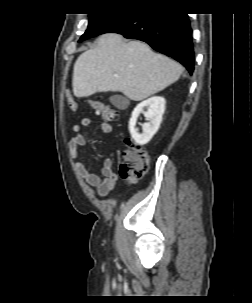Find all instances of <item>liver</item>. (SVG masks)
Instances as JSON below:
<instances>
[{"instance_id":"obj_1","label":"liver","mask_w":252,"mask_h":303,"mask_svg":"<svg viewBox=\"0 0 252 303\" xmlns=\"http://www.w3.org/2000/svg\"><path fill=\"white\" fill-rule=\"evenodd\" d=\"M182 72L179 63L154 53L145 43L107 33L76 60L72 87L76 97L112 91L141 101L177 81Z\"/></svg>"}]
</instances>
